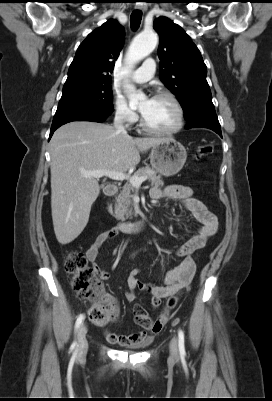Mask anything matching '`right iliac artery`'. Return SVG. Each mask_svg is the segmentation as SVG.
I'll list each match as a JSON object with an SVG mask.
<instances>
[{
	"label": "right iliac artery",
	"mask_w": 272,
	"mask_h": 401,
	"mask_svg": "<svg viewBox=\"0 0 272 401\" xmlns=\"http://www.w3.org/2000/svg\"><path fill=\"white\" fill-rule=\"evenodd\" d=\"M83 320H84V315H83V314L79 315V317L77 318L76 323H75V330H76V331H77L78 328L80 327V325H81V323H82ZM71 347H72V348H77V342L74 341Z\"/></svg>",
	"instance_id": "right-iliac-artery-1"
}]
</instances>
